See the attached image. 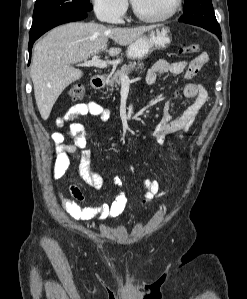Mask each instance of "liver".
Returning a JSON list of instances; mask_svg holds the SVG:
<instances>
[{
  "mask_svg": "<svg viewBox=\"0 0 247 299\" xmlns=\"http://www.w3.org/2000/svg\"><path fill=\"white\" fill-rule=\"evenodd\" d=\"M155 27L107 28L95 22H71L49 31L34 47L30 72L42 119L49 118L63 90L83 76V72L72 64L86 61L104 51L109 56H117L121 48L112 47L108 50L109 39L120 46H127Z\"/></svg>",
  "mask_w": 247,
  "mask_h": 299,
  "instance_id": "6515ba94",
  "label": "liver"
}]
</instances>
